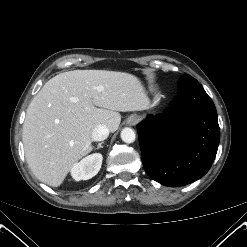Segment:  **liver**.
Segmentation results:
<instances>
[{
	"label": "liver",
	"mask_w": 247,
	"mask_h": 247,
	"mask_svg": "<svg viewBox=\"0 0 247 247\" xmlns=\"http://www.w3.org/2000/svg\"><path fill=\"white\" fill-rule=\"evenodd\" d=\"M149 99L134 75L106 70H74L50 79L29 104L23 124L26 161L36 178L62 184L73 165L90 153L93 129L115 132L119 112L147 108Z\"/></svg>",
	"instance_id": "6515ba94"
}]
</instances>
